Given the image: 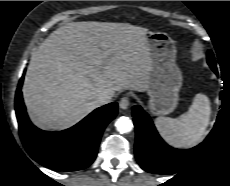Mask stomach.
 <instances>
[{"instance_id": "0dacf381", "label": "stomach", "mask_w": 230, "mask_h": 186, "mask_svg": "<svg viewBox=\"0 0 230 186\" xmlns=\"http://www.w3.org/2000/svg\"><path fill=\"white\" fill-rule=\"evenodd\" d=\"M148 49L151 66L148 76V107L155 115H167L178 105L182 74L175 63L176 47L163 32H149Z\"/></svg>"}]
</instances>
